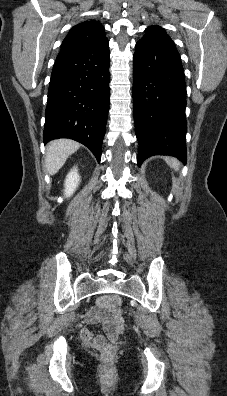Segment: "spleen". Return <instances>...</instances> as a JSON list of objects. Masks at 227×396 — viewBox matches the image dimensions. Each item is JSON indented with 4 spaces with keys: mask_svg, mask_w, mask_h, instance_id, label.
Instances as JSON below:
<instances>
[{
    "mask_svg": "<svg viewBox=\"0 0 227 396\" xmlns=\"http://www.w3.org/2000/svg\"><path fill=\"white\" fill-rule=\"evenodd\" d=\"M167 164L173 167L175 170L179 168V162L175 158H168L166 160Z\"/></svg>",
    "mask_w": 227,
    "mask_h": 396,
    "instance_id": "obj_1",
    "label": "spleen"
}]
</instances>
